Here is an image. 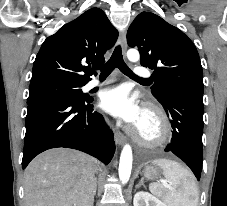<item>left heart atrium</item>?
Here are the masks:
<instances>
[{"mask_svg":"<svg viewBox=\"0 0 227 206\" xmlns=\"http://www.w3.org/2000/svg\"><path fill=\"white\" fill-rule=\"evenodd\" d=\"M101 107L124 122L137 126L144 110L125 86H116L103 92Z\"/></svg>","mask_w":227,"mask_h":206,"instance_id":"39dd6f15","label":"left heart atrium"}]
</instances>
